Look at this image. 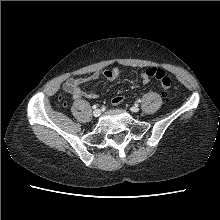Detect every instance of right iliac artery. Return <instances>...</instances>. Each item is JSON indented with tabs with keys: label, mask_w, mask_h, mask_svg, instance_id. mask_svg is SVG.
Wrapping results in <instances>:
<instances>
[{
	"label": "right iliac artery",
	"mask_w": 220,
	"mask_h": 220,
	"mask_svg": "<svg viewBox=\"0 0 220 220\" xmlns=\"http://www.w3.org/2000/svg\"><path fill=\"white\" fill-rule=\"evenodd\" d=\"M93 109H96L97 108V106L96 105H93V107H92Z\"/></svg>",
	"instance_id": "obj_1"
}]
</instances>
